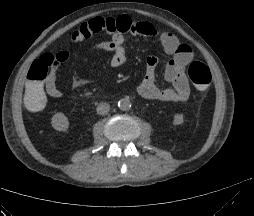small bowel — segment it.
<instances>
[{
	"mask_svg": "<svg viewBox=\"0 0 254 216\" xmlns=\"http://www.w3.org/2000/svg\"><path fill=\"white\" fill-rule=\"evenodd\" d=\"M107 32L111 35L108 42L92 45V49L112 53L110 65L119 68L126 62L125 35H140L157 38L164 51L171 56L164 70V79L171 87L160 88L155 83L158 58L151 55L147 58L144 78L138 86V94L148 100L154 101H186L190 95V86L185 75V67L193 58L192 48L179 41L172 33L161 31L150 22L133 21L123 16L117 19L96 18L86 22L71 34V40L81 42L97 32ZM60 62L69 58V52L62 50L57 53ZM77 82H74L76 85ZM45 91L52 98L62 96L57 86L56 70H51L45 80Z\"/></svg>",
	"mask_w": 254,
	"mask_h": 216,
	"instance_id": "obj_1",
	"label": "small bowel"
}]
</instances>
